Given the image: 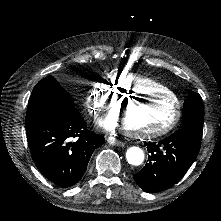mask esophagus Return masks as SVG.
I'll return each instance as SVG.
<instances>
[{
    "label": "esophagus",
    "instance_id": "esophagus-1",
    "mask_svg": "<svg viewBox=\"0 0 221 221\" xmlns=\"http://www.w3.org/2000/svg\"><path fill=\"white\" fill-rule=\"evenodd\" d=\"M107 142L110 145L119 146V147H123L125 145L122 141H120V140H118L116 138H113V137H108L107 138Z\"/></svg>",
    "mask_w": 221,
    "mask_h": 221
}]
</instances>
